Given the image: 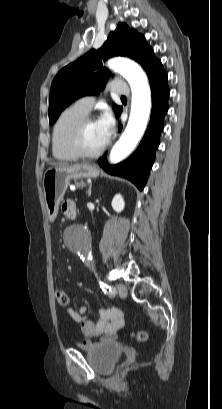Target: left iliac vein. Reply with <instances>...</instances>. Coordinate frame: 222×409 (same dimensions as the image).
Returning <instances> with one entry per match:
<instances>
[{"mask_svg":"<svg viewBox=\"0 0 222 409\" xmlns=\"http://www.w3.org/2000/svg\"><path fill=\"white\" fill-rule=\"evenodd\" d=\"M116 288H117L118 295L121 298H125L127 296L128 291H127V288H126V286L124 284H117Z\"/></svg>","mask_w":222,"mask_h":409,"instance_id":"obj_1","label":"left iliac vein"}]
</instances>
